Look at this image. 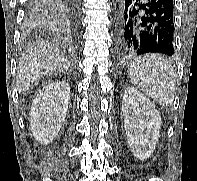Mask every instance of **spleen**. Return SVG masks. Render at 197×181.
I'll use <instances>...</instances> for the list:
<instances>
[{"label": "spleen", "instance_id": "obj_1", "mask_svg": "<svg viewBox=\"0 0 197 181\" xmlns=\"http://www.w3.org/2000/svg\"><path fill=\"white\" fill-rule=\"evenodd\" d=\"M133 85L160 105L173 103L175 74L172 65L159 54L136 58L128 67Z\"/></svg>", "mask_w": 197, "mask_h": 181}]
</instances>
